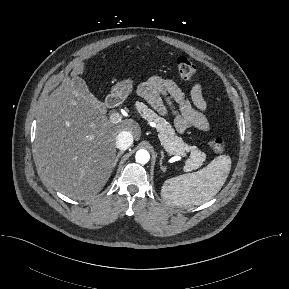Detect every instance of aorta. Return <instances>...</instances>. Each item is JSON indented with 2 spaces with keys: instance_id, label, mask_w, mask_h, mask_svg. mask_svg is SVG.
Returning a JSON list of instances; mask_svg holds the SVG:
<instances>
[{
  "instance_id": "aorta-1",
  "label": "aorta",
  "mask_w": 289,
  "mask_h": 289,
  "mask_svg": "<svg viewBox=\"0 0 289 289\" xmlns=\"http://www.w3.org/2000/svg\"><path fill=\"white\" fill-rule=\"evenodd\" d=\"M136 161L140 164H146L150 159V154L147 150L141 149L136 153Z\"/></svg>"
}]
</instances>
